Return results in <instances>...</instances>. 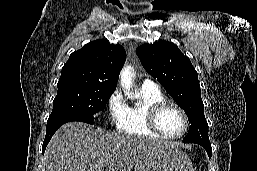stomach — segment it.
I'll use <instances>...</instances> for the list:
<instances>
[{
	"mask_svg": "<svg viewBox=\"0 0 257 171\" xmlns=\"http://www.w3.org/2000/svg\"><path fill=\"white\" fill-rule=\"evenodd\" d=\"M135 171H193V165L187 154L178 147L159 145L139 156Z\"/></svg>",
	"mask_w": 257,
	"mask_h": 171,
	"instance_id": "1",
	"label": "stomach"
}]
</instances>
